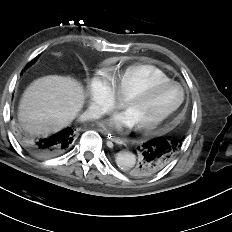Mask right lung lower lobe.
<instances>
[{"label": "right lung lower lobe", "mask_w": 232, "mask_h": 232, "mask_svg": "<svg viewBox=\"0 0 232 232\" xmlns=\"http://www.w3.org/2000/svg\"><path fill=\"white\" fill-rule=\"evenodd\" d=\"M74 129L68 127L50 137H35L18 132V139L22 147L32 156L48 159L59 156L69 150L74 142Z\"/></svg>", "instance_id": "98d812e1"}]
</instances>
